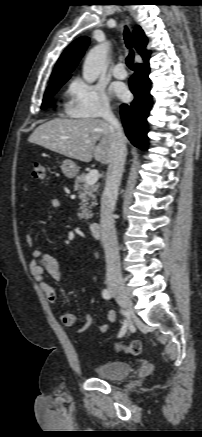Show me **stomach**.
<instances>
[{
	"mask_svg": "<svg viewBox=\"0 0 202 437\" xmlns=\"http://www.w3.org/2000/svg\"><path fill=\"white\" fill-rule=\"evenodd\" d=\"M61 170L67 178H74L79 172V167L72 160L67 159L62 162Z\"/></svg>",
	"mask_w": 202,
	"mask_h": 437,
	"instance_id": "0dacf381",
	"label": "stomach"
}]
</instances>
